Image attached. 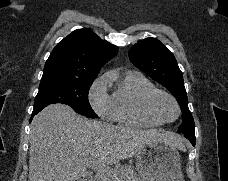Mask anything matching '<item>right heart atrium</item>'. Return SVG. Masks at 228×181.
<instances>
[{
	"instance_id": "1",
	"label": "right heart atrium",
	"mask_w": 228,
	"mask_h": 181,
	"mask_svg": "<svg viewBox=\"0 0 228 181\" xmlns=\"http://www.w3.org/2000/svg\"><path fill=\"white\" fill-rule=\"evenodd\" d=\"M90 101L94 110L104 120L112 119V99L104 89V81L101 79L90 93Z\"/></svg>"
}]
</instances>
